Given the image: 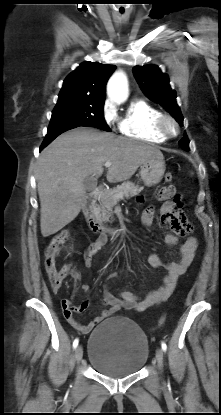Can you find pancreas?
Listing matches in <instances>:
<instances>
[{
  "instance_id": "obj_1",
  "label": "pancreas",
  "mask_w": 221,
  "mask_h": 415,
  "mask_svg": "<svg viewBox=\"0 0 221 415\" xmlns=\"http://www.w3.org/2000/svg\"><path fill=\"white\" fill-rule=\"evenodd\" d=\"M142 189V187L127 181L116 188L102 191L98 199L99 204L93 210L94 216L101 223L112 222V208L117 205L120 199H122L123 196L127 198L136 196L142 191ZM118 194L122 195V197H117Z\"/></svg>"
}]
</instances>
